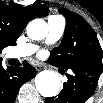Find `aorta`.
Segmentation results:
<instances>
[{"label":"aorta","mask_w":103,"mask_h":103,"mask_svg":"<svg viewBox=\"0 0 103 103\" xmlns=\"http://www.w3.org/2000/svg\"><path fill=\"white\" fill-rule=\"evenodd\" d=\"M47 33V23L42 19H34L27 25V35L32 40H42ZM35 86L43 97H54L60 90L61 81L56 72L44 70L36 76Z\"/></svg>","instance_id":"762f6f07"}]
</instances>
